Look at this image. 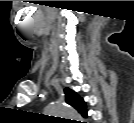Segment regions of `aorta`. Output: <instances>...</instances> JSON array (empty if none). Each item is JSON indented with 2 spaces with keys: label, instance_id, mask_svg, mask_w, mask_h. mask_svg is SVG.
Returning <instances> with one entry per match:
<instances>
[{
  "label": "aorta",
  "instance_id": "aorta-1",
  "mask_svg": "<svg viewBox=\"0 0 134 123\" xmlns=\"http://www.w3.org/2000/svg\"><path fill=\"white\" fill-rule=\"evenodd\" d=\"M45 113L49 116L69 118L71 120L79 119V113L70 106L63 104H50L45 108Z\"/></svg>",
  "mask_w": 134,
  "mask_h": 123
}]
</instances>
